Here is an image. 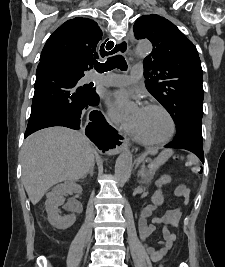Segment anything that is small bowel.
Instances as JSON below:
<instances>
[{"mask_svg":"<svg viewBox=\"0 0 225 267\" xmlns=\"http://www.w3.org/2000/svg\"><path fill=\"white\" fill-rule=\"evenodd\" d=\"M175 193L178 197L183 199L186 203L189 197L188 188L180 184L176 187ZM155 211V206L147 205L143 211L141 218L139 220V234L142 241H146L155 231L157 225H163V236L159 241V248H154L145 245L147 253L154 259H162L167 252L173 246L176 235L170 231V227H176L182 215V207H177L175 209L165 212L162 216L155 217L151 222H148V218L152 216Z\"/></svg>","mask_w":225,"mask_h":267,"instance_id":"c3829d8e","label":"small bowel"}]
</instances>
